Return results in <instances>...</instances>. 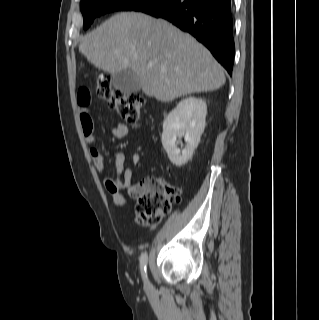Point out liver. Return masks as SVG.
<instances>
[{
    "label": "liver",
    "instance_id": "1",
    "mask_svg": "<svg viewBox=\"0 0 319 320\" xmlns=\"http://www.w3.org/2000/svg\"><path fill=\"white\" fill-rule=\"evenodd\" d=\"M80 52L105 72L131 70L145 95L163 102L219 89L226 80L221 65L194 37L142 13L106 20L84 37Z\"/></svg>",
    "mask_w": 319,
    "mask_h": 320
}]
</instances>
